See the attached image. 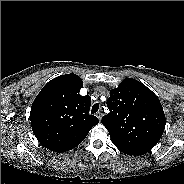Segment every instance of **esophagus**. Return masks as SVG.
I'll return each mask as SVG.
<instances>
[{
    "mask_svg": "<svg viewBox=\"0 0 184 184\" xmlns=\"http://www.w3.org/2000/svg\"><path fill=\"white\" fill-rule=\"evenodd\" d=\"M102 115H103V113H102V111H99L97 114H96V116L98 117V119L101 121V119H102Z\"/></svg>",
    "mask_w": 184,
    "mask_h": 184,
    "instance_id": "obj_1",
    "label": "esophagus"
}]
</instances>
